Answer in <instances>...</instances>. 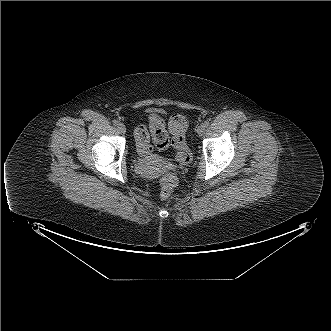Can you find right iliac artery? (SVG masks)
Segmentation results:
<instances>
[{
    "instance_id": "obj_1",
    "label": "right iliac artery",
    "mask_w": 331,
    "mask_h": 331,
    "mask_svg": "<svg viewBox=\"0 0 331 331\" xmlns=\"http://www.w3.org/2000/svg\"><path fill=\"white\" fill-rule=\"evenodd\" d=\"M113 125L117 126L118 125V121L117 120H113Z\"/></svg>"
}]
</instances>
